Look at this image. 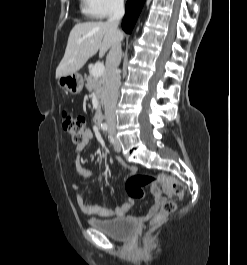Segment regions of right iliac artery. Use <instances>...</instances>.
Here are the masks:
<instances>
[{"instance_id": "1", "label": "right iliac artery", "mask_w": 247, "mask_h": 265, "mask_svg": "<svg viewBox=\"0 0 247 265\" xmlns=\"http://www.w3.org/2000/svg\"><path fill=\"white\" fill-rule=\"evenodd\" d=\"M101 128L102 130L106 131L108 129V125L104 123L101 125Z\"/></svg>"}]
</instances>
